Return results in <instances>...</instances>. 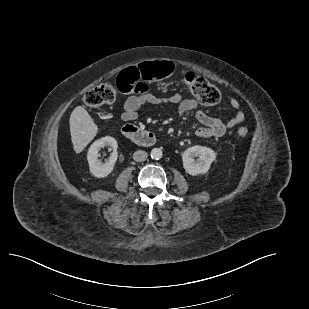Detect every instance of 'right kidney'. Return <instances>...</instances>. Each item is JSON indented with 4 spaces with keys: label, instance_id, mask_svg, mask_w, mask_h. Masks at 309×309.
Segmentation results:
<instances>
[{
    "label": "right kidney",
    "instance_id": "1",
    "mask_svg": "<svg viewBox=\"0 0 309 309\" xmlns=\"http://www.w3.org/2000/svg\"><path fill=\"white\" fill-rule=\"evenodd\" d=\"M109 146L113 152L106 163H102L99 159L100 149L102 147ZM117 141L110 136L103 137L95 141L89 148L87 154V160L89 163L90 172L97 178H103L108 176L114 169L115 162L117 160Z\"/></svg>",
    "mask_w": 309,
    "mask_h": 309
}]
</instances>
